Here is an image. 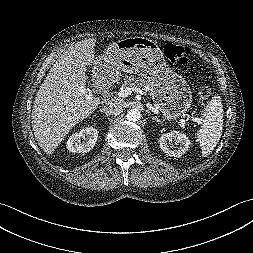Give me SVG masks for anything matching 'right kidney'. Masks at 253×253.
I'll return each instance as SVG.
<instances>
[{
    "instance_id": "ca27d5eb",
    "label": "right kidney",
    "mask_w": 253,
    "mask_h": 253,
    "mask_svg": "<svg viewBox=\"0 0 253 253\" xmlns=\"http://www.w3.org/2000/svg\"><path fill=\"white\" fill-rule=\"evenodd\" d=\"M97 138V129L87 127L79 133L72 134L66 143V147L72 153L89 152L94 147Z\"/></svg>"
}]
</instances>
